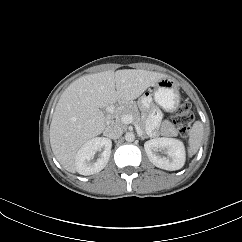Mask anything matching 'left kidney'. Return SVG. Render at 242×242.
<instances>
[{
	"instance_id": "obj_1",
	"label": "left kidney",
	"mask_w": 242,
	"mask_h": 242,
	"mask_svg": "<svg viewBox=\"0 0 242 242\" xmlns=\"http://www.w3.org/2000/svg\"><path fill=\"white\" fill-rule=\"evenodd\" d=\"M146 154L153 165L158 168L174 171L181 169L185 163L184 144L174 138H155L144 144ZM165 155H161L159 152Z\"/></svg>"
}]
</instances>
